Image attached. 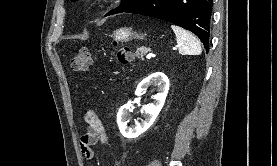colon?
<instances>
[{
  "label": "colon",
  "instance_id": "5ec220e1",
  "mask_svg": "<svg viewBox=\"0 0 277 166\" xmlns=\"http://www.w3.org/2000/svg\"><path fill=\"white\" fill-rule=\"evenodd\" d=\"M117 60L124 65L132 64L134 56L132 50L125 45L114 42ZM94 52L91 49H81L72 59L71 67L74 71H86L93 63Z\"/></svg>",
  "mask_w": 277,
  "mask_h": 166
}]
</instances>
